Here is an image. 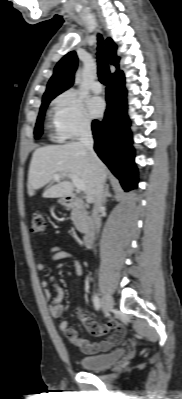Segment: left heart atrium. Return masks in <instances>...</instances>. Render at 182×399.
<instances>
[{
  "mask_svg": "<svg viewBox=\"0 0 182 399\" xmlns=\"http://www.w3.org/2000/svg\"><path fill=\"white\" fill-rule=\"evenodd\" d=\"M87 107L93 118L100 117L104 111V101L100 97H91L87 101Z\"/></svg>",
  "mask_w": 182,
  "mask_h": 399,
  "instance_id": "left-heart-atrium-1",
  "label": "left heart atrium"
}]
</instances>
